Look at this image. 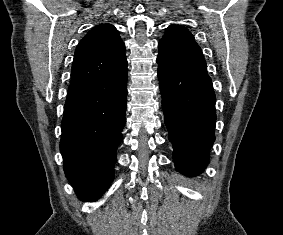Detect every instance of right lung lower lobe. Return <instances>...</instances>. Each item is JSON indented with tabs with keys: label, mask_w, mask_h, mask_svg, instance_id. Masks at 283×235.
<instances>
[{
	"label": "right lung lower lobe",
	"mask_w": 283,
	"mask_h": 235,
	"mask_svg": "<svg viewBox=\"0 0 283 235\" xmlns=\"http://www.w3.org/2000/svg\"><path fill=\"white\" fill-rule=\"evenodd\" d=\"M127 71L70 89L60 150L64 171L81 200L94 201L110 186L125 125Z\"/></svg>",
	"instance_id": "obj_1"
}]
</instances>
